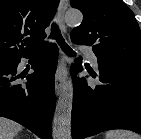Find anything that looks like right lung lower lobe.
I'll return each instance as SVG.
<instances>
[{"label": "right lung lower lobe", "mask_w": 141, "mask_h": 139, "mask_svg": "<svg viewBox=\"0 0 141 139\" xmlns=\"http://www.w3.org/2000/svg\"><path fill=\"white\" fill-rule=\"evenodd\" d=\"M57 56L56 45L50 44L0 65V116L20 123L42 139H51ZM22 57L34 60V72L25 84L19 83L23 77L16 75Z\"/></svg>", "instance_id": "right-lung-lower-lobe-1"}]
</instances>
